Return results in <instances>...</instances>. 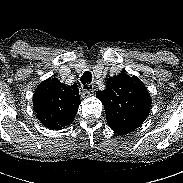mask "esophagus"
<instances>
[{"instance_id":"1","label":"esophagus","mask_w":183,"mask_h":183,"mask_svg":"<svg viewBox=\"0 0 183 183\" xmlns=\"http://www.w3.org/2000/svg\"><path fill=\"white\" fill-rule=\"evenodd\" d=\"M87 87H91V89H86V90H83L82 91V97L83 98H87V97H90L91 95H93V88L91 85H88Z\"/></svg>"}]
</instances>
